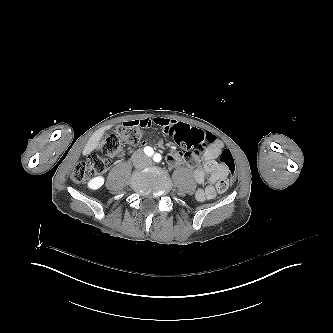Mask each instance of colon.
I'll list each match as a JSON object with an SVG mask.
<instances>
[{"mask_svg": "<svg viewBox=\"0 0 333 333\" xmlns=\"http://www.w3.org/2000/svg\"><path fill=\"white\" fill-rule=\"evenodd\" d=\"M170 137L178 144H184L194 153L191 157H198L202 149H211L215 145V136L205 127L192 129L186 122H176L170 128ZM142 138L138 128L117 127L116 131L102 140L100 149L105 157L93 156L86 162L76 164L72 172L74 182H82L106 170L120 157L126 146H136ZM220 161L227 168L231 176L235 175L236 163L232 153L224 149ZM233 178L224 179L219 184V190L225 191L231 186Z\"/></svg>", "mask_w": 333, "mask_h": 333, "instance_id": "obj_1", "label": "colon"}]
</instances>
